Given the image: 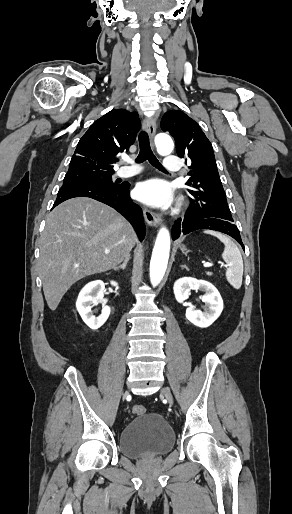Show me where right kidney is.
Wrapping results in <instances>:
<instances>
[{"label":"right kidney","instance_id":"1","mask_svg":"<svg viewBox=\"0 0 292 514\" xmlns=\"http://www.w3.org/2000/svg\"><path fill=\"white\" fill-rule=\"evenodd\" d=\"M112 286H117V282H111ZM104 282L101 280H95V282H89L84 288H82L76 302V308L85 324L91 328V330H98L103 324H105L109 314L111 312L109 306H102L100 316H94L97 310H91L92 304H102L104 296Z\"/></svg>","mask_w":292,"mask_h":514}]
</instances>
